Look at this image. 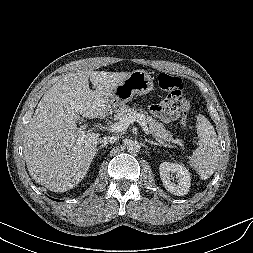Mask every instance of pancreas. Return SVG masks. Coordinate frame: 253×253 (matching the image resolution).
Here are the masks:
<instances>
[{
    "label": "pancreas",
    "mask_w": 253,
    "mask_h": 253,
    "mask_svg": "<svg viewBox=\"0 0 253 253\" xmlns=\"http://www.w3.org/2000/svg\"><path fill=\"white\" fill-rule=\"evenodd\" d=\"M139 111V112H138ZM140 114L143 117L145 123L149 126V132L164 146H170V142L173 141L172 135L167 131L162 123H159L151 116L147 115V112L142 109L130 108L129 106L123 104L115 111V120H120L122 118L128 117L130 114Z\"/></svg>",
    "instance_id": "pancreas-1"
}]
</instances>
